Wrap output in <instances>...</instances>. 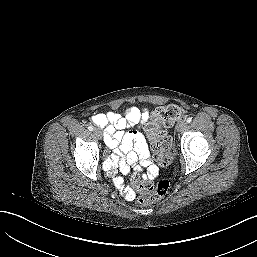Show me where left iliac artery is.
Returning <instances> with one entry per match:
<instances>
[{
  "label": "left iliac artery",
  "instance_id": "1",
  "mask_svg": "<svg viewBox=\"0 0 257 257\" xmlns=\"http://www.w3.org/2000/svg\"><path fill=\"white\" fill-rule=\"evenodd\" d=\"M191 121H192V118H190V117L187 118V120H186L187 123H190Z\"/></svg>",
  "mask_w": 257,
  "mask_h": 257
}]
</instances>
